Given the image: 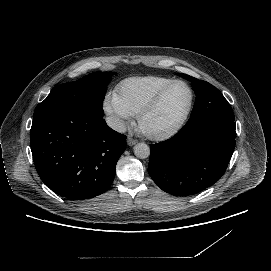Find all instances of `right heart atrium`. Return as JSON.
<instances>
[{
    "label": "right heart atrium",
    "instance_id": "1",
    "mask_svg": "<svg viewBox=\"0 0 271 271\" xmlns=\"http://www.w3.org/2000/svg\"><path fill=\"white\" fill-rule=\"evenodd\" d=\"M104 110L109 114L116 126L125 125L131 118V115L122 105L118 95L114 92L106 93L103 101Z\"/></svg>",
    "mask_w": 271,
    "mask_h": 271
}]
</instances>
